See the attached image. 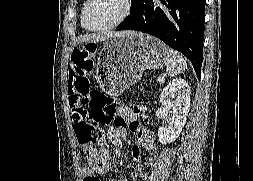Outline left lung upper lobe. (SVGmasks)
Listing matches in <instances>:
<instances>
[{
	"instance_id": "obj_1",
	"label": "left lung upper lobe",
	"mask_w": 253,
	"mask_h": 181,
	"mask_svg": "<svg viewBox=\"0 0 253 181\" xmlns=\"http://www.w3.org/2000/svg\"><path fill=\"white\" fill-rule=\"evenodd\" d=\"M78 1V0H77ZM138 0H135V2L131 5V8H130V12H131V10L133 9V7H134V5H135V3L137 2Z\"/></svg>"
}]
</instances>
